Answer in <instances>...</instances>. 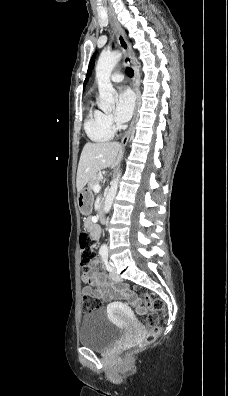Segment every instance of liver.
Here are the masks:
<instances>
[{"mask_svg": "<svg viewBox=\"0 0 228 396\" xmlns=\"http://www.w3.org/2000/svg\"><path fill=\"white\" fill-rule=\"evenodd\" d=\"M122 155L123 150L118 142L86 143L78 164L77 191L80 192L100 170L108 167L114 168Z\"/></svg>", "mask_w": 228, "mask_h": 396, "instance_id": "obj_1", "label": "liver"}]
</instances>
